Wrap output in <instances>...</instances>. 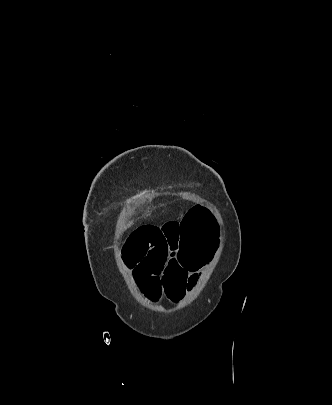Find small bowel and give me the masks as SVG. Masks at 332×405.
<instances>
[{"label":"small bowel","instance_id":"c3829d8e","mask_svg":"<svg viewBox=\"0 0 332 405\" xmlns=\"http://www.w3.org/2000/svg\"><path fill=\"white\" fill-rule=\"evenodd\" d=\"M179 236V222L166 221L140 226L124 242L120 257L144 302L158 305L160 298H168L177 303L198 281L201 268L177 262Z\"/></svg>","mask_w":332,"mask_h":405}]
</instances>
